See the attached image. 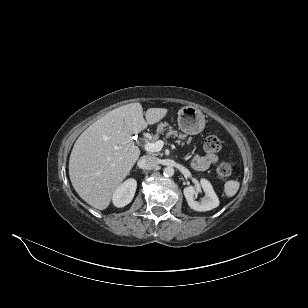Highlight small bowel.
Here are the masks:
<instances>
[{"instance_id": "small-bowel-1", "label": "small bowel", "mask_w": 308, "mask_h": 308, "mask_svg": "<svg viewBox=\"0 0 308 308\" xmlns=\"http://www.w3.org/2000/svg\"><path fill=\"white\" fill-rule=\"evenodd\" d=\"M217 161L218 156L216 154L207 153L203 156H194L191 160V165L197 170H206Z\"/></svg>"}]
</instances>
